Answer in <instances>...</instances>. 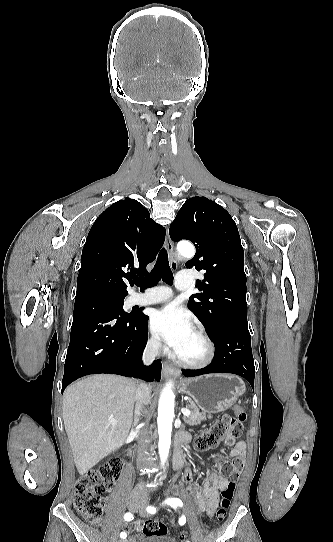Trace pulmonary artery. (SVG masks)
<instances>
[{"mask_svg": "<svg viewBox=\"0 0 333 542\" xmlns=\"http://www.w3.org/2000/svg\"><path fill=\"white\" fill-rule=\"evenodd\" d=\"M193 269L191 267H186L184 270H178L175 273L176 287L180 292H185L188 289L189 282L192 281ZM131 292H135L131 290ZM172 298V295L168 293L167 286H154L153 289L151 286L145 287V292L142 301H134L133 304L138 305H155L169 301Z\"/></svg>", "mask_w": 333, "mask_h": 542, "instance_id": "1", "label": "pulmonary artery"}]
</instances>
